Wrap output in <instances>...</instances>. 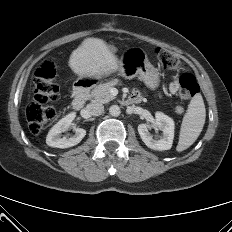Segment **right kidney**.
Wrapping results in <instances>:
<instances>
[{"label": "right kidney", "mask_w": 232, "mask_h": 232, "mask_svg": "<svg viewBox=\"0 0 232 232\" xmlns=\"http://www.w3.org/2000/svg\"><path fill=\"white\" fill-rule=\"evenodd\" d=\"M75 116V113H69L51 128L46 137L48 146L55 148H69L80 143L86 135V130L76 127L72 123ZM70 127L74 128L75 134L71 137L64 136L61 138V133L67 131Z\"/></svg>", "instance_id": "right-kidney-1"}]
</instances>
